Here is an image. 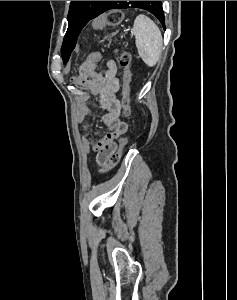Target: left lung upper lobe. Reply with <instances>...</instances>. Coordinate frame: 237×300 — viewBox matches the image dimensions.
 Segmentation results:
<instances>
[{
    "label": "left lung upper lobe",
    "mask_w": 237,
    "mask_h": 300,
    "mask_svg": "<svg viewBox=\"0 0 237 300\" xmlns=\"http://www.w3.org/2000/svg\"><path fill=\"white\" fill-rule=\"evenodd\" d=\"M109 2L110 1H71L67 17L69 25L61 47L64 63L69 60L81 30L90 20L102 14L105 6ZM160 4V1H120V9L141 8L147 10L158 18L165 28L164 12H160Z\"/></svg>",
    "instance_id": "left-lung-upper-lobe-1"
}]
</instances>
